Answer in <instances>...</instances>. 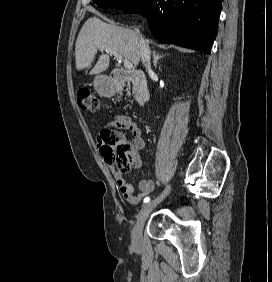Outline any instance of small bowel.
I'll return each instance as SVG.
<instances>
[{
    "mask_svg": "<svg viewBox=\"0 0 272 282\" xmlns=\"http://www.w3.org/2000/svg\"><path fill=\"white\" fill-rule=\"evenodd\" d=\"M108 126L114 128H124L133 134L134 139L131 151V165L134 169H140L142 167L141 153L146 142L139 127L136 123L127 118L113 120L108 123ZM109 170L113 175L120 193L130 204H139L146 195L150 194L155 189V183L151 179H143L139 183V192L134 194L133 186L126 181L122 173L118 172L113 166H109Z\"/></svg>",
    "mask_w": 272,
    "mask_h": 282,
    "instance_id": "small-bowel-1",
    "label": "small bowel"
}]
</instances>
